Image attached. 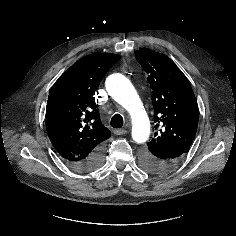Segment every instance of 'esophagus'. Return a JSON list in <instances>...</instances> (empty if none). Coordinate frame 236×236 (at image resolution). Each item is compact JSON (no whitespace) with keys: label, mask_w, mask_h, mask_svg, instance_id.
<instances>
[{"label":"esophagus","mask_w":236,"mask_h":236,"mask_svg":"<svg viewBox=\"0 0 236 236\" xmlns=\"http://www.w3.org/2000/svg\"><path fill=\"white\" fill-rule=\"evenodd\" d=\"M126 133H127V130H125V129H115L114 130L115 135H124Z\"/></svg>","instance_id":"obj_1"}]
</instances>
